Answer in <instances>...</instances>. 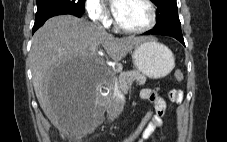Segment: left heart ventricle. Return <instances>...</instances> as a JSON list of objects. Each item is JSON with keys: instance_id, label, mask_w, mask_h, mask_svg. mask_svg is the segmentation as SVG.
Listing matches in <instances>:
<instances>
[{"instance_id": "obj_1", "label": "left heart ventricle", "mask_w": 227, "mask_h": 142, "mask_svg": "<svg viewBox=\"0 0 227 142\" xmlns=\"http://www.w3.org/2000/svg\"><path fill=\"white\" fill-rule=\"evenodd\" d=\"M115 17L123 26L137 28L147 23L149 12L142 0H123Z\"/></svg>"}]
</instances>
